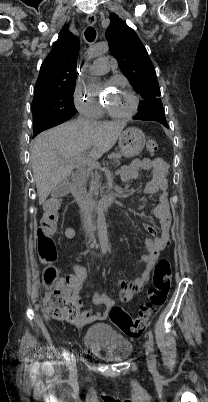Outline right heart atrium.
Listing matches in <instances>:
<instances>
[{
  "mask_svg": "<svg viewBox=\"0 0 208 402\" xmlns=\"http://www.w3.org/2000/svg\"><path fill=\"white\" fill-rule=\"evenodd\" d=\"M76 107L89 119L101 118L103 109L98 98L86 86L77 83L72 92Z\"/></svg>",
  "mask_w": 208,
  "mask_h": 402,
  "instance_id": "d8ad5b80",
  "label": "right heart atrium"
}]
</instances>
